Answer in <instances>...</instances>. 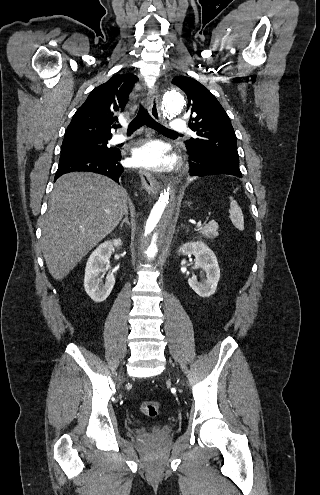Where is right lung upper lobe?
I'll return each instance as SVG.
<instances>
[{
  "instance_id": "obj_1",
  "label": "right lung upper lobe",
  "mask_w": 320,
  "mask_h": 495,
  "mask_svg": "<svg viewBox=\"0 0 320 495\" xmlns=\"http://www.w3.org/2000/svg\"><path fill=\"white\" fill-rule=\"evenodd\" d=\"M134 74H116L94 88L74 114L63 141L83 138H111L117 113L124 110L133 85Z\"/></svg>"
}]
</instances>
